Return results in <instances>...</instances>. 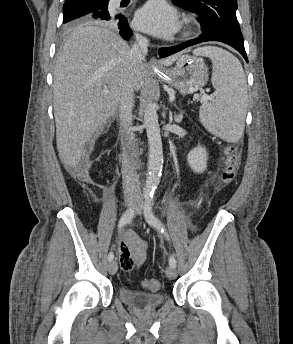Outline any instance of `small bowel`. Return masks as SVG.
I'll use <instances>...</instances> for the list:
<instances>
[{
    "mask_svg": "<svg viewBox=\"0 0 293 344\" xmlns=\"http://www.w3.org/2000/svg\"><path fill=\"white\" fill-rule=\"evenodd\" d=\"M148 244L134 231L127 230L117 242L119 262L122 270L131 271L140 265L145 258Z\"/></svg>",
    "mask_w": 293,
    "mask_h": 344,
    "instance_id": "c3829d8e",
    "label": "small bowel"
}]
</instances>
